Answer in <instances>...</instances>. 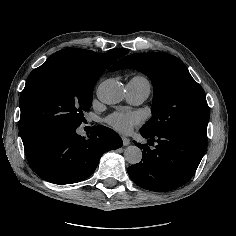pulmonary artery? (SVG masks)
<instances>
[{
    "mask_svg": "<svg viewBox=\"0 0 236 236\" xmlns=\"http://www.w3.org/2000/svg\"><path fill=\"white\" fill-rule=\"evenodd\" d=\"M150 94V89L144 86H140L130 80L126 84V98L133 104H140L144 102Z\"/></svg>",
    "mask_w": 236,
    "mask_h": 236,
    "instance_id": "obj_1",
    "label": "pulmonary artery"
}]
</instances>
